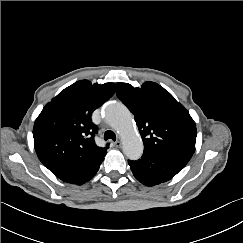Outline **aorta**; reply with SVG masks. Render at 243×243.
Instances as JSON below:
<instances>
[{
  "label": "aorta",
  "instance_id": "aorta-1",
  "mask_svg": "<svg viewBox=\"0 0 243 243\" xmlns=\"http://www.w3.org/2000/svg\"><path fill=\"white\" fill-rule=\"evenodd\" d=\"M105 119L120 135L124 154L131 160L139 159L143 153V142L128 108L120 102H110L105 108Z\"/></svg>",
  "mask_w": 243,
  "mask_h": 243
}]
</instances>
